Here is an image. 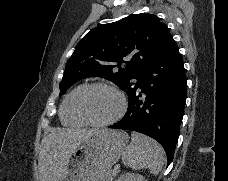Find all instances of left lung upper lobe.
Listing matches in <instances>:
<instances>
[{
  "label": "left lung upper lobe",
  "mask_w": 228,
  "mask_h": 181,
  "mask_svg": "<svg viewBox=\"0 0 228 181\" xmlns=\"http://www.w3.org/2000/svg\"><path fill=\"white\" fill-rule=\"evenodd\" d=\"M170 38L167 26L153 14H134L93 28L66 64L60 95L92 76L114 82L128 95L140 71Z\"/></svg>",
  "instance_id": "obj_1"
}]
</instances>
